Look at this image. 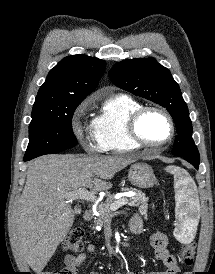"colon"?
I'll return each mask as SVG.
<instances>
[{
	"instance_id": "5ec220e1",
	"label": "colon",
	"mask_w": 215,
	"mask_h": 274,
	"mask_svg": "<svg viewBox=\"0 0 215 274\" xmlns=\"http://www.w3.org/2000/svg\"><path fill=\"white\" fill-rule=\"evenodd\" d=\"M84 232L81 228L77 227L72 229L63 242V249L65 251L78 252L83 247ZM195 257V246L193 244L186 245L182 249V259L188 266L192 265ZM43 274H69L66 270L57 272H44Z\"/></svg>"
}]
</instances>
